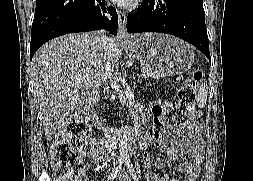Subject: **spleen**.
<instances>
[{
    "label": "spleen",
    "mask_w": 253,
    "mask_h": 181,
    "mask_svg": "<svg viewBox=\"0 0 253 181\" xmlns=\"http://www.w3.org/2000/svg\"><path fill=\"white\" fill-rule=\"evenodd\" d=\"M207 92H208V88H207V85L204 83L200 86L199 92H198V95H197V101L199 102V104L202 107L206 104Z\"/></svg>",
    "instance_id": "spleen-1"
}]
</instances>
